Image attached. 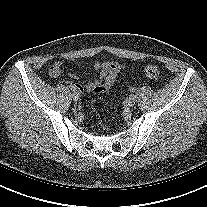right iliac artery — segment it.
Instances as JSON below:
<instances>
[{
	"instance_id": "1",
	"label": "right iliac artery",
	"mask_w": 207,
	"mask_h": 207,
	"mask_svg": "<svg viewBox=\"0 0 207 207\" xmlns=\"http://www.w3.org/2000/svg\"><path fill=\"white\" fill-rule=\"evenodd\" d=\"M69 88H70L72 91H75V88H74V87H71V86H70Z\"/></svg>"
}]
</instances>
